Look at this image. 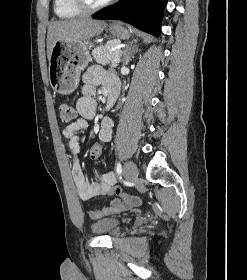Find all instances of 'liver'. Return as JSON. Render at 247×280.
<instances>
[{"label":"liver","mask_w":247,"mask_h":280,"mask_svg":"<svg viewBox=\"0 0 247 280\" xmlns=\"http://www.w3.org/2000/svg\"><path fill=\"white\" fill-rule=\"evenodd\" d=\"M106 23L88 18L52 21L47 32V57L50 60L55 42L59 40L86 41L103 32Z\"/></svg>","instance_id":"6515ba94"}]
</instances>
